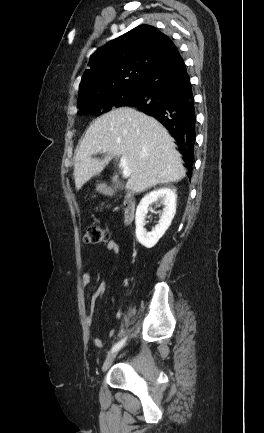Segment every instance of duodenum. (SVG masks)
<instances>
[{
  "label": "duodenum",
  "instance_id": "410a0bca",
  "mask_svg": "<svg viewBox=\"0 0 264 433\" xmlns=\"http://www.w3.org/2000/svg\"><path fill=\"white\" fill-rule=\"evenodd\" d=\"M109 194L113 193L112 189H108ZM135 211H136V201L135 199L129 195L125 194L123 198V204H122V212H123V220L125 224H130L134 217H135Z\"/></svg>",
  "mask_w": 264,
  "mask_h": 433
}]
</instances>
